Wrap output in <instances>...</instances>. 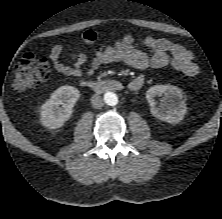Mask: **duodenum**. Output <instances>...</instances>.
I'll list each match as a JSON object with an SVG mask.
<instances>
[{
    "label": "duodenum",
    "instance_id": "duodenum-1",
    "mask_svg": "<svg viewBox=\"0 0 222 219\" xmlns=\"http://www.w3.org/2000/svg\"><path fill=\"white\" fill-rule=\"evenodd\" d=\"M90 89L104 92L107 90H121L123 89L124 85L117 80H104V81H88L85 83ZM142 86L140 81H132L130 82L127 87L130 90H139Z\"/></svg>",
    "mask_w": 222,
    "mask_h": 219
}]
</instances>
